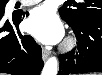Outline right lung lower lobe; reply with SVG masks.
<instances>
[{
  "label": "right lung lower lobe",
  "mask_w": 102,
  "mask_h": 75,
  "mask_svg": "<svg viewBox=\"0 0 102 75\" xmlns=\"http://www.w3.org/2000/svg\"><path fill=\"white\" fill-rule=\"evenodd\" d=\"M7 3V1H6ZM0 12V72L12 75H39L44 62L41 47L31 36L22 35L18 28L22 20L21 14L4 20ZM28 15V14H27ZM25 16V14L23 15ZM6 32H9L5 35Z\"/></svg>",
  "instance_id": "obj_1"
}]
</instances>
